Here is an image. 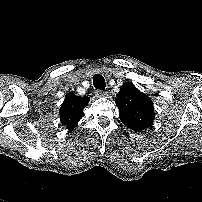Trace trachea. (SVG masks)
<instances>
[{
    "instance_id": "trachea-1",
    "label": "trachea",
    "mask_w": 202,
    "mask_h": 202,
    "mask_svg": "<svg viewBox=\"0 0 202 202\" xmlns=\"http://www.w3.org/2000/svg\"><path fill=\"white\" fill-rule=\"evenodd\" d=\"M93 85L96 89L105 90L106 83L104 77L100 74H95L93 76Z\"/></svg>"
}]
</instances>
